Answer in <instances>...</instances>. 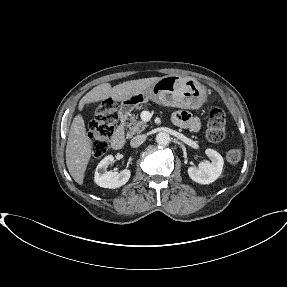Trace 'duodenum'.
<instances>
[{"mask_svg":"<svg viewBox=\"0 0 287 287\" xmlns=\"http://www.w3.org/2000/svg\"><path fill=\"white\" fill-rule=\"evenodd\" d=\"M126 122V113H123L120 119V124L116 129L111 144L114 149H121L125 145V132H124V125Z\"/></svg>","mask_w":287,"mask_h":287,"instance_id":"duodenum-1","label":"duodenum"}]
</instances>
